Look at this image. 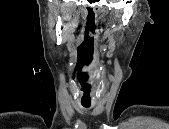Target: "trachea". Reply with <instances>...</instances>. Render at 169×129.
Returning a JSON list of instances; mask_svg holds the SVG:
<instances>
[{
    "label": "trachea",
    "instance_id": "3493384b",
    "mask_svg": "<svg viewBox=\"0 0 169 129\" xmlns=\"http://www.w3.org/2000/svg\"><path fill=\"white\" fill-rule=\"evenodd\" d=\"M84 107L88 108L89 106L88 105H84Z\"/></svg>",
    "mask_w": 169,
    "mask_h": 129
}]
</instances>
